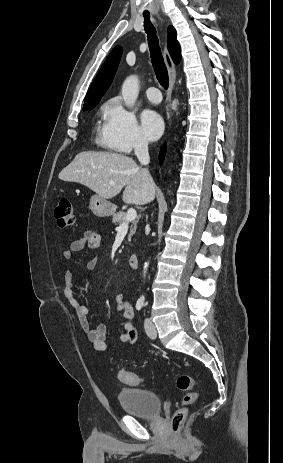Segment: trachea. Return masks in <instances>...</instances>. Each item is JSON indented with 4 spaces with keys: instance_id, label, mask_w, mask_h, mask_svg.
<instances>
[{
    "instance_id": "obj_1",
    "label": "trachea",
    "mask_w": 283,
    "mask_h": 463,
    "mask_svg": "<svg viewBox=\"0 0 283 463\" xmlns=\"http://www.w3.org/2000/svg\"><path fill=\"white\" fill-rule=\"evenodd\" d=\"M144 18V27L148 36L151 62L160 85L164 87V89H167L169 83L168 72L159 46V40L156 35V29L150 22L149 15L144 14Z\"/></svg>"
}]
</instances>
